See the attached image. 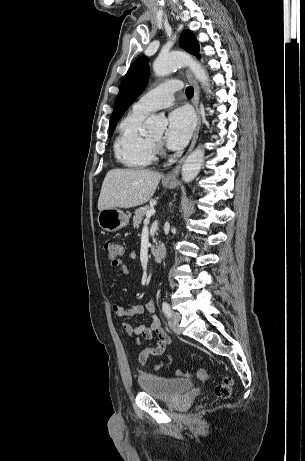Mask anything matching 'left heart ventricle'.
I'll use <instances>...</instances> for the list:
<instances>
[{"label":"left heart ventricle","mask_w":305,"mask_h":461,"mask_svg":"<svg viewBox=\"0 0 305 461\" xmlns=\"http://www.w3.org/2000/svg\"><path fill=\"white\" fill-rule=\"evenodd\" d=\"M162 137H163V134L160 133V134H157L155 136H152L151 138L156 141V142H161L162 141Z\"/></svg>","instance_id":"1"}]
</instances>
